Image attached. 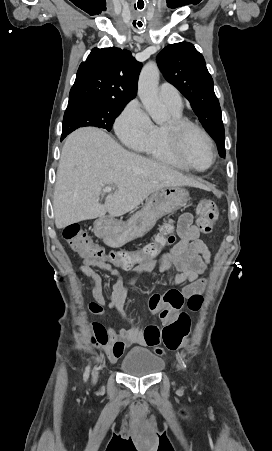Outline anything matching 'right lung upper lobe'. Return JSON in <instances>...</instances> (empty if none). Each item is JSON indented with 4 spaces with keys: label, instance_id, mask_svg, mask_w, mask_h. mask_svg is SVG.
I'll return each mask as SVG.
<instances>
[{
    "label": "right lung upper lobe",
    "instance_id": "1",
    "mask_svg": "<svg viewBox=\"0 0 272 451\" xmlns=\"http://www.w3.org/2000/svg\"><path fill=\"white\" fill-rule=\"evenodd\" d=\"M142 64L130 51L119 48H93L77 71L69 102L106 100L129 102L137 93Z\"/></svg>",
    "mask_w": 272,
    "mask_h": 451
}]
</instances>
